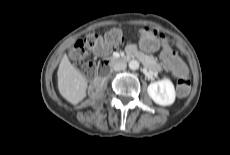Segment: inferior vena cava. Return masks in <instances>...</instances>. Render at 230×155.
<instances>
[{"label": "inferior vena cava", "instance_id": "inferior-vena-cava-1", "mask_svg": "<svg viewBox=\"0 0 230 155\" xmlns=\"http://www.w3.org/2000/svg\"><path fill=\"white\" fill-rule=\"evenodd\" d=\"M127 64L124 61H117L114 66L113 69L115 71H120V70H124L126 68Z\"/></svg>", "mask_w": 230, "mask_h": 155}]
</instances>
